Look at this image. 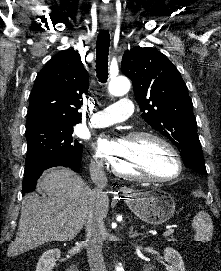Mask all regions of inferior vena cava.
Returning a JSON list of instances; mask_svg holds the SVG:
<instances>
[{
	"label": "inferior vena cava",
	"mask_w": 221,
	"mask_h": 271,
	"mask_svg": "<svg viewBox=\"0 0 221 271\" xmlns=\"http://www.w3.org/2000/svg\"><path fill=\"white\" fill-rule=\"evenodd\" d=\"M93 167L96 169L98 177L95 181L96 187L91 191V199L84 219L86 249L90 271H107L102 251L106 227L99 201L107 197L104 187L107 185L108 179L102 163H94Z\"/></svg>",
	"instance_id": "602c4592"
}]
</instances>
